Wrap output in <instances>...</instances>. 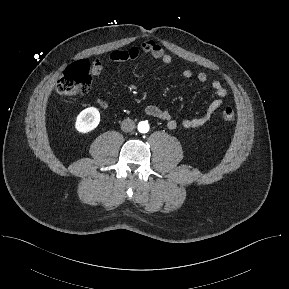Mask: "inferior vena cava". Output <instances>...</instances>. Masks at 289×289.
<instances>
[{"mask_svg":"<svg viewBox=\"0 0 289 289\" xmlns=\"http://www.w3.org/2000/svg\"><path fill=\"white\" fill-rule=\"evenodd\" d=\"M135 128V122L129 118L124 119L121 123V129L124 132H131Z\"/></svg>","mask_w":289,"mask_h":289,"instance_id":"1","label":"inferior vena cava"}]
</instances>
